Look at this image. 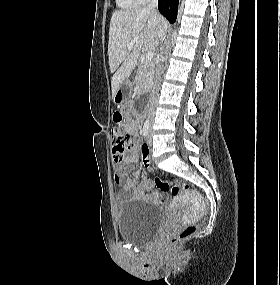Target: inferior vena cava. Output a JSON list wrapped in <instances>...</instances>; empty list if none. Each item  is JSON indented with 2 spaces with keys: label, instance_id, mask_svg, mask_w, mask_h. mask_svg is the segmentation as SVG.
Instances as JSON below:
<instances>
[{
  "label": "inferior vena cava",
  "instance_id": "1",
  "mask_svg": "<svg viewBox=\"0 0 280 285\" xmlns=\"http://www.w3.org/2000/svg\"><path fill=\"white\" fill-rule=\"evenodd\" d=\"M157 4H158V0H151L149 5L147 6V9L148 10H155L157 8ZM162 68L163 67L161 64H157L156 72H155V81H154V85H153V89H152V93H151V99H150L151 108H150L149 113H148V117L150 120H152L154 117L153 105L156 102V97H157L158 91H159V82L161 79Z\"/></svg>",
  "mask_w": 280,
  "mask_h": 285
}]
</instances>
